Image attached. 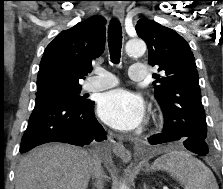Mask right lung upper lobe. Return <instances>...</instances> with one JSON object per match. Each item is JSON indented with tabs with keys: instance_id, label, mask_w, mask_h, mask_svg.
I'll list each match as a JSON object with an SVG mask.
<instances>
[{
	"instance_id": "right-lung-upper-lobe-1",
	"label": "right lung upper lobe",
	"mask_w": 223,
	"mask_h": 189,
	"mask_svg": "<svg viewBox=\"0 0 223 189\" xmlns=\"http://www.w3.org/2000/svg\"><path fill=\"white\" fill-rule=\"evenodd\" d=\"M105 19L92 16L62 31L45 49L37 76V92L81 87L78 80L92 70L105 48Z\"/></svg>"
}]
</instances>
